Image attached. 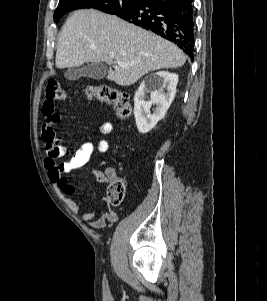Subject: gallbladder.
I'll return each instance as SVG.
<instances>
[{"instance_id": "bac80fb5", "label": "gallbladder", "mask_w": 267, "mask_h": 301, "mask_svg": "<svg viewBox=\"0 0 267 301\" xmlns=\"http://www.w3.org/2000/svg\"><path fill=\"white\" fill-rule=\"evenodd\" d=\"M108 73L107 67L102 63H87L81 67L68 69L64 76L68 80H77L80 77H88L96 80L103 79Z\"/></svg>"}]
</instances>
